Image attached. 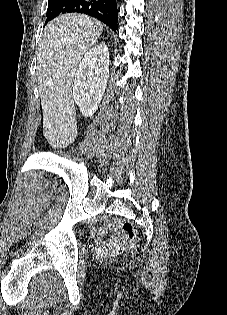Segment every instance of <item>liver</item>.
Here are the masks:
<instances>
[{
    "instance_id": "6515ba94",
    "label": "liver",
    "mask_w": 227,
    "mask_h": 315,
    "mask_svg": "<svg viewBox=\"0 0 227 315\" xmlns=\"http://www.w3.org/2000/svg\"><path fill=\"white\" fill-rule=\"evenodd\" d=\"M103 24L89 16L67 13L50 21L38 50L37 81L43 111V134L53 148L77 136L72 87L83 55L101 35Z\"/></svg>"
}]
</instances>
